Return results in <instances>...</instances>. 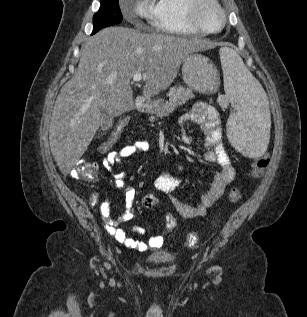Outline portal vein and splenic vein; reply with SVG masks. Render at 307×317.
Here are the masks:
<instances>
[{"label": "portal vein and splenic vein", "instance_id": "obj_1", "mask_svg": "<svg viewBox=\"0 0 307 317\" xmlns=\"http://www.w3.org/2000/svg\"><path fill=\"white\" fill-rule=\"evenodd\" d=\"M144 78V76L142 75V73H137L132 77V80L134 82H139Z\"/></svg>", "mask_w": 307, "mask_h": 317}]
</instances>
